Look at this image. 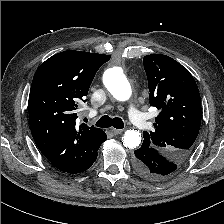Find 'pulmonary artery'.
<instances>
[{"mask_svg": "<svg viewBox=\"0 0 224 224\" xmlns=\"http://www.w3.org/2000/svg\"><path fill=\"white\" fill-rule=\"evenodd\" d=\"M128 115L131 121L139 128V129H147L148 123L145 121L142 113L138 111L133 105L129 106Z\"/></svg>", "mask_w": 224, "mask_h": 224, "instance_id": "pulmonary-artery-1", "label": "pulmonary artery"}]
</instances>
